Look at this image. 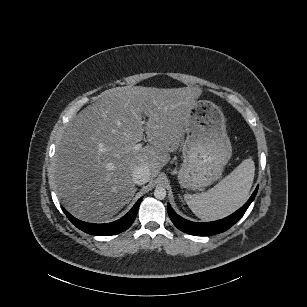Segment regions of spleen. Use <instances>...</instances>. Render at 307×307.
<instances>
[{
	"label": "spleen",
	"instance_id": "1",
	"mask_svg": "<svg viewBox=\"0 0 307 307\" xmlns=\"http://www.w3.org/2000/svg\"><path fill=\"white\" fill-rule=\"evenodd\" d=\"M254 175L255 164L250 157L207 192L185 194L184 200L198 218L204 221L222 219L247 201Z\"/></svg>",
	"mask_w": 307,
	"mask_h": 307
}]
</instances>
